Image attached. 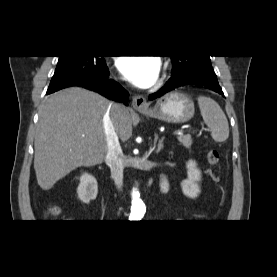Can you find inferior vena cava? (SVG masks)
I'll use <instances>...</instances> for the list:
<instances>
[{
	"mask_svg": "<svg viewBox=\"0 0 277 277\" xmlns=\"http://www.w3.org/2000/svg\"><path fill=\"white\" fill-rule=\"evenodd\" d=\"M123 107L124 106L121 104H110L103 117V128L106 141L105 162L110 167L111 176L118 191H122L123 186V152L113 124L112 113L114 111L120 113Z\"/></svg>",
	"mask_w": 277,
	"mask_h": 277,
	"instance_id": "obj_1",
	"label": "inferior vena cava"
}]
</instances>
